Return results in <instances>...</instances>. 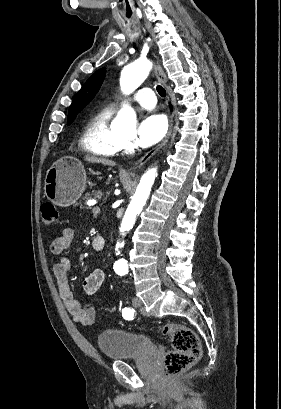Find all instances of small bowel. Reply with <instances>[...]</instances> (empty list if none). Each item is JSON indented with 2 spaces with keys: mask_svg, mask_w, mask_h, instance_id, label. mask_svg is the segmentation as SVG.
I'll return each mask as SVG.
<instances>
[{
  "mask_svg": "<svg viewBox=\"0 0 281 409\" xmlns=\"http://www.w3.org/2000/svg\"><path fill=\"white\" fill-rule=\"evenodd\" d=\"M74 239V230L64 228L61 233L51 243V252L59 257L53 266V272L57 280L60 298L62 299L68 313L75 323L82 326L91 327L95 323V309L87 304L82 307L80 302L74 297L70 286V261L64 256ZM94 240V239H93ZM104 242L102 240V247ZM106 279L103 269H94L84 280V290L88 295H93L99 291Z\"/></svg>",
  "mask_w": 281,
  "mask_h": 409,
  "instance_id": "c3829d8e",
  "label": "small bowel"
}]
</instances>
